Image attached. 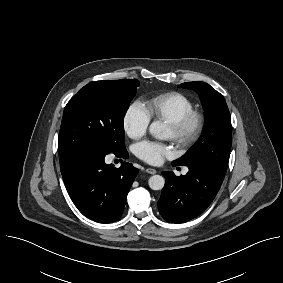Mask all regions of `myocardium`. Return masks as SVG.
<instances>
[{
	"mask_svg": "<svg viewBox=\"0 0 283 283\" xmlns=\"http://www.w3.org/2000/svg\"><path fill=\"white\" fill-rule=\"evenodd\" d=\"M171 139L181 147L194 144L201 136L204 128V117L197 110H191L179 119L168 122Z\"/></svg>",
	"mask_w": 283,
	"mask_h": 283,
	"instance_id": "1",
	"label": "myocardium"
}]
</instances>
